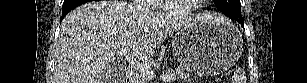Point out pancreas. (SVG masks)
Listing matches in <instances>:
<instances>
[{
  "label": "pancreas",
  "instance_id": "cf45deb5",
  "mask_svg": "<svg viewBox=\"0 0 307 83\" xmlns=\"http://www.w3.org/2000/svg\"><path fill=\"white\" fill-rule=\"evenodd\" d=\"M167 73L171 76L172 80H185L189 78V74L182 71L180 68L169 69ZM136 83H146V78L139 73L136 77Z\"/></svg>",
  "mask_w": 307,
  "mask_h": 83
}]
</instances>
